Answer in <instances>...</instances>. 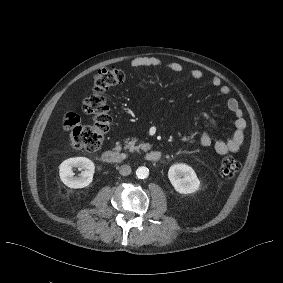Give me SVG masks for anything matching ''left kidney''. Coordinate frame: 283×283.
<instances>
[{
  "label": "left kidney",
  "mask_w": 283,
  "mask_h": 283,
  "mask_svg": "<svg viewBox=\"0 0 283 283\" xmlns=\"http://www.w3.org/2000/svg\"><path fill=\"white\" fill-rule=\"evenodd\" d=\"M168 178L180 194H190L199 189L200 181L192 167L178 163L169 168Z\"/></svg>",
  "instance_id": "left-kidney-1"
}]
</instances>
